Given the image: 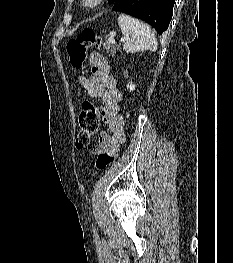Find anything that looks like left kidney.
Listing matches in <instances>:
<instances>
[{"mask_svg":"<svg viewBox=\"0 0 233 263\" xmlns=\"http://www.w3.org/2000/svg\"><path fill=\"white\" fill-rule=\"evenodd\" d=\"M127 89H129L130 91H134L135 90V85L133 83H128L127 84Z\"/></svg>","mask_w":233,"mask_h":263,"instance_id":"obj_1","label":"left kidney"}]
</instances>
